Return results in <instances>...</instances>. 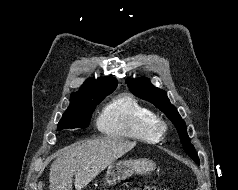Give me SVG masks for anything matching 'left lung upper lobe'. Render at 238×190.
<instances>
[{
	"mask_svg": "<svg viewBox=\"0 0 238 190\" xmlns=\"http://www.w3.org/2000/svg\"><path fill=\"white\" fill-rule=\"evenodd\" d=\"M127 85L135 96L153 103L157 108L166 114V116L176 125L185 152L195 162L200 163L194 146L190 143L186 124L184 120H182L176 108L170 103L166 92L162 89L154 87L147 78H128Z\"/></svg>",
	"mask_w": 238,
	"mask_h": 190,
	"instance_id": "5c2ea615",
	"label": "left lung upper lobe"
}]
</instances>
